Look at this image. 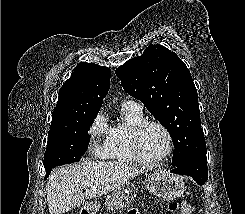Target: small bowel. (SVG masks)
Returning a JSON list of instances; mask_svg holds the SVG:
<instances>
[{
    "label": "small bowel",
    "instance_id": "1",
    "mask_svg": "<svg viewBox=\"0 0 245 214\" xmlns=\"http://www.w3.org/2000/svg\"><path fill=\"white\" fill-rule=\"evenodd\" d=\"M128 214H139L136 208H131Z\"/></svg>",
    "mask_w": 245,
    "mask_h": 214
}]
</instances>
